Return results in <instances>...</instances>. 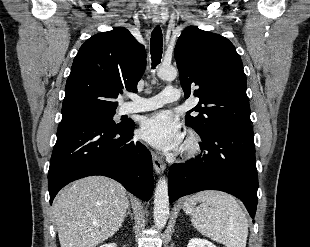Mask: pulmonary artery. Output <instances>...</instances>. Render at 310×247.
Listing matches in <instances>:
<instances>
[{
	"mask_svg": "<svg viewBox=\"0 0 310 247\" xmlns=\"http://www.w3.org/2000/svg\"><path fill=\"white\" fill-rule=\"evenodd\" d=\"M180 97V91L171 85L166 86L159 94L150 98L133 96L131 101L125 102L120 107V113L143 112L156 109L166 103L174 102Z\"/></svg>",
	"mask_w": 310,
	"mask_h": 247,
	"instance_id": "obj_1",
	"label": "pulmonary artery"
}]
</instances>
